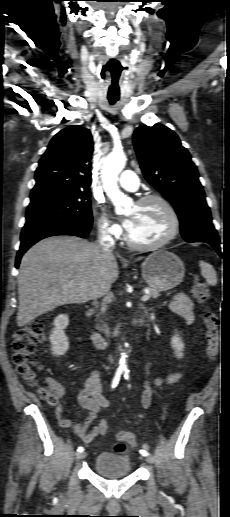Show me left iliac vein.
Instances as JSON below:
<instances>
[{
    "mask_svg": "<svg viewBox=\"0 0 230 517\" xmlns=\"http://www.w3.org/2000/svg\"><path fill=\"white\" fill-rule=\"evenodd\" d=\"M146 461H147L148 463H150V464H153V463H154V459H153V457H152V456H150V455L146 456Z\"/></svg>",
    "mask_w": 230,
    "mask_h": 517,
    "instance_id": "4c4485c4",
    "label": "left iliac vein"
}]
</instances>
